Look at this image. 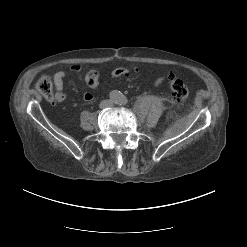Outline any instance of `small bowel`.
Segmentation results:
<instances>
[{"label":"small bowel","mask_w":247,"mask_h":247,"mask_svg":"<svg viewBox=\"0 0 247 247\" xmlns=\"http://www.w3.org/2000/svg\"><path fill=\"white\" fill-rule=\"evenodd\" d=\"M71 71L74 72V73H79L81 71V67L78 66V65H75L71 68ZM128 72V70L126 68H123V67H119L117 69H115L113 72H112V75L114 77H121L123 75H125L126 73ZM67 77V72L66 71H58L54 74L53 76V82H54V85H55V88H56V100L59 101V102H62L65 100L66 98V95L63 91L64 89V81ZM166 80V77L164 76H161V77H158L155 82H154V85L155 86H160L161 84H163ZM84 100L87 101V102H90L93 100V95L89 92H86L84 94Z\"/></svg>","instance_id":"small-bowel-1"}]
</instances>
